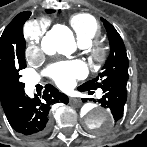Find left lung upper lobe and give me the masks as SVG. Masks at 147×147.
Returning a JSON list of instances; mask_svg holds the SVG:
<instances>
[{"instance_id": "obj_1", "label": "left lung upper lobe", "mask_w": 147, "mask_h": 147, "mask_svg": "<svg viewBox=\"0 0 147 147\" xmlns=\"http://www.w3.org/2000/svg\"><path fill=\"white\" fill-rule=\"evenodd\" d=\"M106 28L109 44L110 55L106 61L103 72L92 80L87 81L81 87L88 90H96L103 85L118 81L128 80V58L123 40L116 29L106 20L102 19Z\"/></svg>"}]
</instances>
